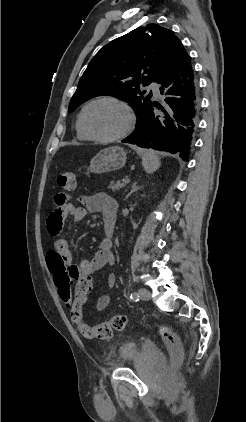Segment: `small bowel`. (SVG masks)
<instances>
[{
	"mask_svg": "<svg viewBox=\"0 0 246 422\" xmlns=\"http://www.w3.org/2000/svg\"><path fill=\"white\" fill-rule=\"evenodd\" d=\"M55 201L56 206L47 220L48 231L53 236L60 233L64 220L67 217H71L74 222H79L85 217L87 212H99L102 215L104 238L91 259L83 260L79 264H73V255L69 241L66 238H59L55 241L53 249L63 256L73 272L72 277L78 279L88 275L92 276L104 266L112 265L115 260L112 252V235L117 210L115 200L105 193H97L92 196L80 198L82 205L69 203L65 200V196L62 195H58ZM110 233L112 234L110 235ZM115 285L116 276L110 274L107 278V286L113 288ZM109 303L110 297L103 295L98 298L96 309L99 311L104 310Z\"/></svg>",
	"mask_w": 246,
	"mask_h": 422,
	"instance_id": "c3829d8e",
	"label": "small bowel"
}]
</instances>
